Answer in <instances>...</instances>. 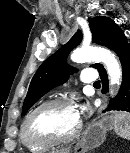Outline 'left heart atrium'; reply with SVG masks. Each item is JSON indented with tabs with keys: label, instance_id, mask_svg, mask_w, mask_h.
<instances>
[{
	"label": "left heart atrium",
	"instance_id": "39dd6f15",
	"mask_svg": "<svg viewBox=\"0 0 130 153\" xmlns=\"http://www.w3.org/2000/svg\"><path fill=\"white\" fill-rule=\"evenodd\" d=\"M75 110H76L78 117L80 118L85 112V107L83 105H76Z\"/></svg>",
	"mask_w": 130,
	"mask_h": 153
}]
</instances>
